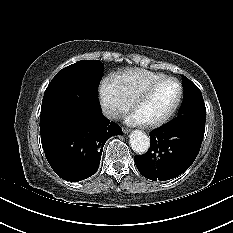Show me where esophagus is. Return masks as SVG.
Masks as SVG:
<instances>
[{
	"instance_id": "obj_1",
	"label": "esophagus",
	"mask_w": 233,
	"mask_h": 233,
	"mask_svg": "<svg viewBox=\"0 0 233 233\" xmlns=\"http://www.w3.org/2000/svg\"><path fill=\"white\" fill-rule=\"evenodd\" d=\"M122 130L124 134H127L130 131L128 127H122Z\"/></svg>"
}]
</instances>
